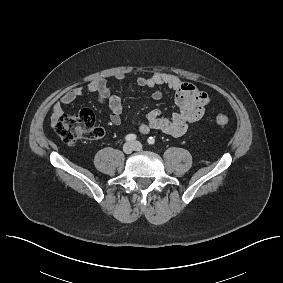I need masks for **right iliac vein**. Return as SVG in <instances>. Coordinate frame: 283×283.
<instances>
[{"label": "right iliac vein", "mask_w": 283, "mask_h": 283, "mask_svg": "<svg viewBox=\"0 0 283 283\" xmlns=\"http://www.w3.org/2000/svg\"><path fill=\"white\" fill-rule=\"evenodd\" d=\"M134 150V145L130 142H127L123 145V152L130 154Z\"/></svg>", "instance_id": "63e3f726"}]
</instances>
